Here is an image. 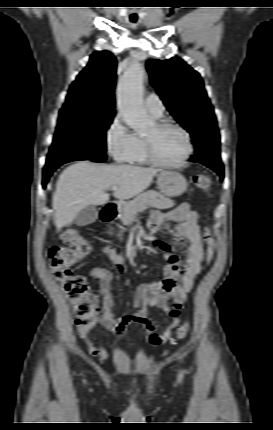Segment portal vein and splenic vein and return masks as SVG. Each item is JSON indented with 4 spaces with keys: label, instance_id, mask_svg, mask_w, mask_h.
I'll return each instance as SVG.
<instances>
[{
    "label": "portal vein and splenic vein",
    "instance_id": "obj_1",
    "mask_svg": "<svg viewBox=\"0 0 273 430\" xmlns=\"http://www.w3.org/2000/svg\"><path fill=\"white\" fill-rule=\"evenodd\" d=\"M111 190L116 191V190H118V187H117V186H112V187H111Z\"/></svg>",
    "mask_w": 273,
    "mask_h": 430
}]
</instances>
